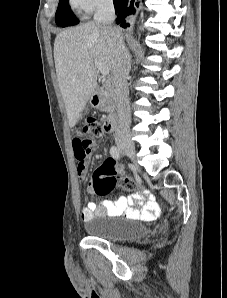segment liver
Segmentation results:
<instances>
[{
	"mask_svg": "<svg viewBox=\"0 0 227 298\" xmlns=\"http://www.w3.org/2000/svg\"><path fill=\"white\" fill-rule=\"evenodd\" d=\"M115 32L122 36L121 30ZM54 60L69 126L76 125L97 84L95 60L112 73L113 40L93 21L58 33L54 42Z\"/></svg>",
	"mask_w": 227,
	"mask_h": 298,
	"instance_id": "liver-1",
	"label": "liver"
}]
</instances>
